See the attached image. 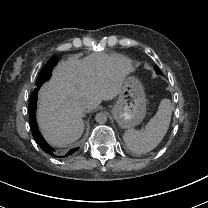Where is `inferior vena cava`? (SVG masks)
<instances>
[{
  "mask_svg": "<svg viewBox=\"0 0 208 208\" xmlns=\"http://www.w3.org/2000/svg\"><path fill=\"white\" fill-rule=\"evenodd\" d=\"M85 107V105H82V108H84Z\"/></svg>",
  "mask_w": 208,
  "mask_h": 208,
  "instance_id": "1",
  "label": "inferior vena cava"
}]
</instances>
